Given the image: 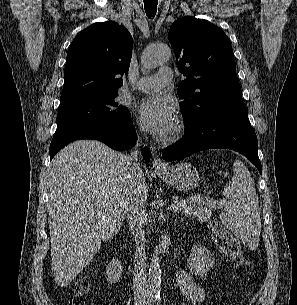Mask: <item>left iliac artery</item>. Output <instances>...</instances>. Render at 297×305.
Returning <instances> with one entry per match:
<instances>
[{"instance_id":"obj_1","label":"left iliac artery","mask_w":297,"mask_h":305,"mask_svg":"<svg viewBox=\"0 0 297 305\" xmlns=\"http://www.w3.org/2000/svg\"><path fill=\"white\" fill-rule=\"evenodd\" d=\"M156 300H157V305H160V301H161L160 295H157V296H156Z\"/></svg>"}]
</instances>
